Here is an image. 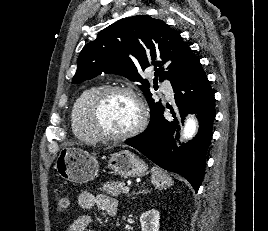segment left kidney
<instances>
[{
  "mask_svg": "<svg viewBox=\"0 0 268 231\" xmlns=\"http://www.w3.org/2000/svg\"><path fill=\"white\" fill-rule=\"evenodd\" d=\"M159 211L152 209L144 212L140 216V223L142 231H159Z\"/></svg>",
  "mask_w": 268,
  "mask_h": 231,
  "instance_id": "left-kidney-1",
  "label": "left kidney"
}]
</instances>
